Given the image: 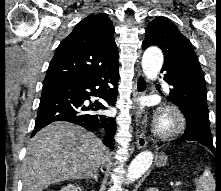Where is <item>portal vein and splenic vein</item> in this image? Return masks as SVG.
Masks as SVG:
<instances>
[{
  "instance_id": "18ae733b",
  "label": "portal vein and splenic vein",
  "mask_w": 221,
  "mask_h": 191,
  "mask_svg": "<svg viewBox=\"0 0 221 191\" xmlns=\"http://www.w3.org/2000/svg\"><path fill=\"white\" fill-rule=\"evenodd\" d=\"M173 185H174L175 187H180V186L182 185V183H181V182H175Z\"/></svg>"
}]
</instances>
